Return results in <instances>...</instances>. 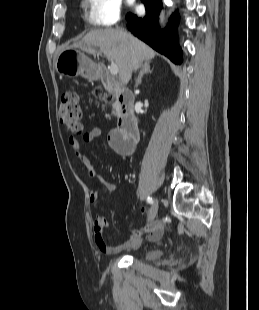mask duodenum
<instances>
[{
	"label": "duodenum",
	"mask_w": 259,
	"mask_h": 310,
	"mask_svg": "<svg viewBox=\"0 0 259 310\" xmlns=\"http://www.w3.org/2000/svg\"><path fill=\"white\" fill-rule=\"evenodd\" d=\"M98 77L113 92L117 104L118 127L110 133L111 144L120 154L130 155L134 152L139 137L134 96L131 91L116 86L101 67L98 69Z\"/></svg>",
	"instance_id": "obj_1"
}]
</instances>
